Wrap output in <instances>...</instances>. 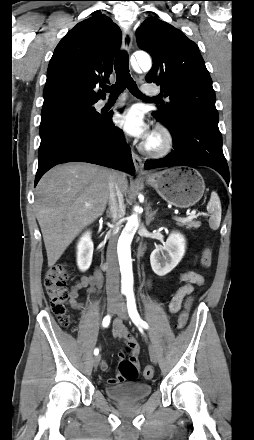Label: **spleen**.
I'll list each match as a JSON object with an SVG mask.
<instances>
[{
  "label": "spleen",
  "instance_id": "1",
  "mask_svg": "<svg viewBox=\"0 0 254 440\" xmlns=\"http://www.w3.org/2000/svg\"><path fill=\"white\" fill-rule=\"evenodd\" d=\"M207 210L211 213L209 225L213 230L218 229L221 221V203L218 194L213 191L207 205Z\"/></svg>",
  "mask_w": 254,
  "mask_h": 440
}]
</instances>
